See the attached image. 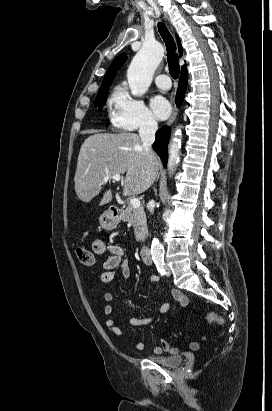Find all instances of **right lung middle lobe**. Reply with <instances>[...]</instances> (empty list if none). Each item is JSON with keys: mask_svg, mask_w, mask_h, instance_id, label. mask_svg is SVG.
Masks as SVG:
<instances>
[{"mask_svg": "<svg viewBox=\"0 0 272 411\" xmlns=\"http://www.w3.org/2000/svg\"><path fill=\"white\" fill-rule=\"evenodd\" d=\"M109 86L110 85H108L105 88L99 90V93H98V95L96 97V100H95V106H98L99 108H102L104 106V104L106 102L107 93L109 91Z\"/></svg>", "mask_w": 272, "mask_h": 411, "instance_id": "1", "label": "right lung middle lobe"}]
</instances>
